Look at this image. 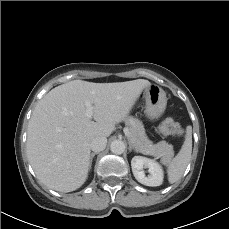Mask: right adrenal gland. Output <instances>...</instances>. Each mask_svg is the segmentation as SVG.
I'll list each match as a JSON object with an SVG mask.
<instances>
[{
  "instance_id": "obj_1",
  "label": "right adrenal gland",
  "mask_w": 229,
  "mask_h": 229,
  "mask_svg": "<svg viewBox=\"0 0 229 229\" xmlns=\"http://www.w3.org/2000/svg\"><path fill=\"white\" fill-rule=\"evenodd\" d=\"M98 152L91 153L90 160H89V169H91L92 161L95 155H97Z\"/></svg>"
}]
</instances>
